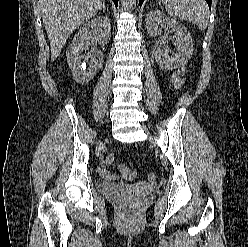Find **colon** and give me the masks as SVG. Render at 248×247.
<instances>
[{
	"label": "colon",
	"mask_w": 248,
	"mask_h": 247,
	"mask_svg": "<svg viewBox=\"0 0 248 247\" xmlns=\"http://www.w3.org/2000/svg\"><path fill=\"white\" fill-rule=\"evenodd\" d=\"M185 70V67H181L179 68L171 77V85L173 87H177L179 85V77H180V74ZM106 162L108 165H111L113 162H114V156L113 155H109L107 156L106 158ZM120 169L122 170V172L124 173L125 177L128 178V179H133L137 176V172L128 168L127 166H125L124 164H121L120 166ZM155 174L154 173H150L148 175V180L149 181H153L155 180Z\"/></svg>",
	"instance_id": "colon-1"
}]
</instances>
